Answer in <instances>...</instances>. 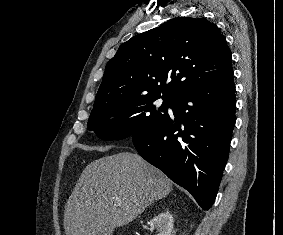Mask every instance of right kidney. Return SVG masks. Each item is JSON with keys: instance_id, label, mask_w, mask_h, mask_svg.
Listing matches in <instances>:
<instances>
[{"instance_id": "right-kidney-1", "label": "right kidney", "mask_w": 283, "mask_h": 235, "mask_svg": "<svg viewBox=\"0 0 283 235\" xmlns=\"http://www.w3.org/2000/svg\"><path fill=\"white\" fill-rule=\"evenodd\" d=\"M150 230H157V235H171L173 230V216L169 212H162L148 222Z\"/></svg>"}]
</instances>
